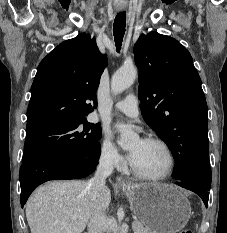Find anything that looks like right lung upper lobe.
Listing matches in <instances>:
<instances>
[{
	"mask_svg": "<svg viewBox=\"0 0 227 233\" xmlns=\"http://www.w3.org/2000/svg\"><path fill=\"white\" fill-rule=\"evenodd\" d=\"M106 66L95 39L79 34L51 51L39 64L31 87L27 135L69 123L96 108V91Z\"/></svg>",
	"mask_w": 227,
	"mask_h": 233,
	"instance_id": "1",
	"label": "right lung upper lobe"
}]
</instances>
